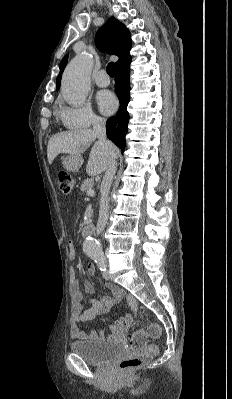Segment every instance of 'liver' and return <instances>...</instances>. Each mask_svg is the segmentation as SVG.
I'll list each match as a JSON object with an SVG mask.
<instances>
[{
  "instance_id": "obj_1",
  "label": "liver",
  "mask_w": 232,
  "mask_h": 399,
  "mask_svg": "<svg viewBox=\"0 0 232 399\" xmlns=\"http://www.w3.org/2000/svg\"><path fill=\"white\" fill-rule=\"evenodd\" d=\"M95 140L94 130H71V132L55 134L48 142V162L52 164L58 154H83ZM110 154L118 156V148L113 144L110 148L106 144L95 142L86 166L88 176H98V174L105 172L108 168Z\"/></svg>"
}]
</instances>
